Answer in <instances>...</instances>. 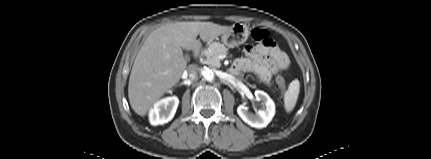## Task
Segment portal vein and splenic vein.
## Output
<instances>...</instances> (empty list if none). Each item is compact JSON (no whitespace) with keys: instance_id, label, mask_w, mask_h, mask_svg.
<instances>
[{"instance_id":"1","label":"portal vein and splenic vein","mask_w":431,"mask_h":159,"mask_svg":"<svg viewBox=\"0 0 431 159\" xmlns=\"http://www.w3.org/2000/svg\"><path fill=\"white\" fill-rule=\"evenodd\" d=\"M223 57L219 56V59H222Z\"/></svg>"}]
</instances>
